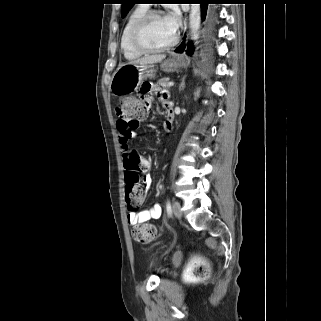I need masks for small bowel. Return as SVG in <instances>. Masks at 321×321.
Returning a JSON list of instances; mask_svg holds the SVG:
<instances>
[{
	"label": "small bowel",
	"mask_w": 321,
	"mask_h": 321,
	"mask_svg": "<svg viewBox=\"0 0 321 321\" xmlns=\"http://www.w3.org/2000/svg\"><path fill=\"white\" fill-rule=\"evenodd\" d=\"M153 93H155L158 99L162 102L163 107L166 109L167 114L168 112H172V103L169 100L168 92L163 89L152 86L150 80L142 81L141 87H138L137 91L134 92V97L135 98L144 97L145 103L147 105H151L154 103V100L151 98ZM116 127L118 131L119 145L123 153L124 165H126L130 156L136 153L130 148L129 141L137 135L136 133L137 127L130 126L129 124L121 121L120 119L117 120ZM165 127L166 129H170L171 127V123L168 121L167 118L165 121ZM146 171L143 172L145 173L143 177V181H144V184L147 187H149L152 183V178L149 174H146ZM161 213H162V208L160 204L154 203L149 208L141 210L139 212H129L127 214V222L131 226L141 225V224L147 223L152 219L160 218Z\"/></svg>",
	"instance_id": "c3829d8e"
}]
</instances>
